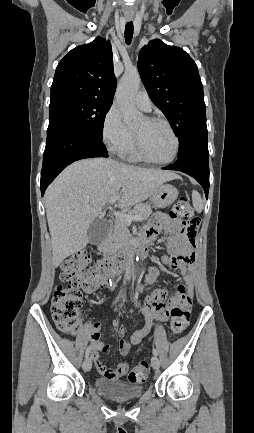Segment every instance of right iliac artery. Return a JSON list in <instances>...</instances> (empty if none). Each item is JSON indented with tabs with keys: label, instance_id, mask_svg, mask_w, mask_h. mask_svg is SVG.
<instances>
[{
	"label": "right iliac artery",
	"instance_id": "1",
	"mask_svg": "<svg viewBox=\"0 0 254 433\" xmlns=\"http://www.w3.org/2000/svg\"><path fill=\"white\" fill-rule=\"evenodd\" d=\"M122 291H123V290H121V292H122ZM121 292H120V293H121ZM119 297H120V294L117 296V298H116L114 304L118 301ZM90 352H91V348L88 347L87 350H86V353H85V358H87V357L89 356Z\"/></svg>",
	"mask_w": 254,
	"mask_h": 433
}]
</instances>
